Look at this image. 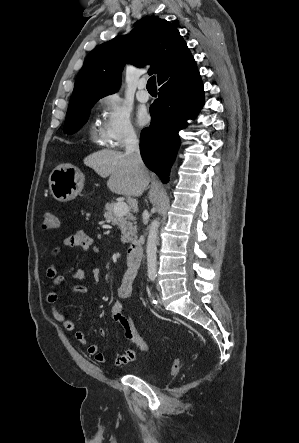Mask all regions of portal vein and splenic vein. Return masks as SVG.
I'll use <instances>...</instances> for the list:
<instances>
[{
  "label": "portal vein and splenic vein",
  "instance_id": "1",
  "mask_svg": "<svg viewBox=\"0 0 299 443\" xmlns=\"http://www.w3.org/2000/svg\"><path fill=\"white\" fill-rule=\"evenodd\" d=\"M129 212V207L125 202H117L114 206V213L118 217L125 216Z\"/></svg>",
  "mask_w": 299,
  "mask_h": 443
}]
</instances>
